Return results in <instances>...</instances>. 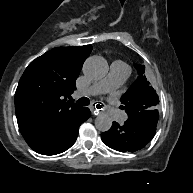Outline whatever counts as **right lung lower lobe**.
<instances>
[{
    "mask_svg": "<svg viewBox=\"0 0 193 193\" xmlns=\"http://www.w3.org/2000/svg\"><path fill=\"white\" fill-rule=\"evenodd\" d=\"M89 117L90 110L85 107L80 117L59 138L51 143L32 146L31 148L43 155H55L66 151L76 141L79 126Z\"/></svg>",
    "mask_w": 193,
    "mask_h": 193,
    "instance_id": "1",
    "label": "right lung lower lobe"
}]
</instances>
